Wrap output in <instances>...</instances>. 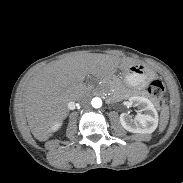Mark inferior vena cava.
<instances>
[{"label":"inferior vena cava","instance_id":"1","mask_svg":"<svg viewBox=\"0 0 183 183\" xmlns=\"http://www.w3.org/2000/svg\"><path fill=\"white\" fill-rule=\"evenodd\" d=\"M77 100L80 104H83V105L88 104V102H89V98L85 95L80 96Z\"/></svg>","mask_w":183,"mask_h":183}]
</instances>
